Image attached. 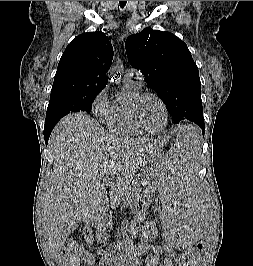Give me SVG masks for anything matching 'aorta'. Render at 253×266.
Returning a JSON list of instances; mask_svg holds the SVG:
<instances>
[{
	"instance_id": "aorta-1",
	"label": "aorta",
	"mask_w": 253,
	"mask_h": 266,
	"mask_svg": "<svg viewBox=\"0 0 253 266\" xmlns=\"http://www.w3.org/2000/svg\"><path fill=\"white\" fill-rule=\"evenodd\" d=\"M122 70V66L119 64L113 65L109 71V76L110 77H117V74L120 73Z\"/></svg>"
}]
</instances>
